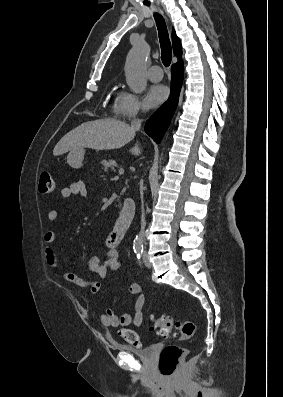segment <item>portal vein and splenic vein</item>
<instances>
[{"label":"portal vein and splenic vein","mask_w":283,"mask_h":397,"mask_svg":"<svg viewBox=\"0 0 283 397\" xmlns=\"http://www.w3.org/2000/svg\"><path fill=\"white\" fill-rule=\"evenodd\" d=\"M123 174H124V169H123V168H120V169H119V176H121V175H123ZM119 176H116L115 179H118Z\"/></svg>","instance_id":"obj_1"}]
</instances>
